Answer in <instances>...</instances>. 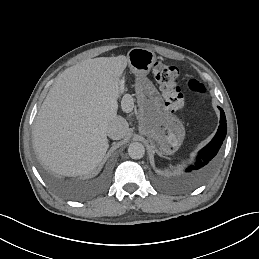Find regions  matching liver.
<instances>
[{"mask_svg": "<svg viewBox=\"0 0 259 259\" xmlns=\"http://www.w3.org/2000/svg\"><path fill=\"white\" fill-rule=\"evenodd\" d=\"M126 66L123 55L100 57L57 77L32 128L35 153L46 166L67 176L95 169L109 148L107 126L120 117L119 78ZM121 108L127 105L122 102Z\"/></svg>", "mask_w": 259, "mask_h": 259, "instance_id": "1", "label": "liver"}]
</instances>
